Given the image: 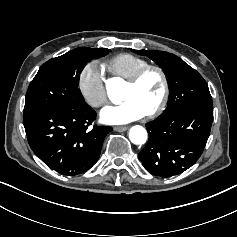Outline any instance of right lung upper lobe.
<instances>
[{"label":"right lung upper lobe","mask_w":237,"mask_h":237,"mask_svg":"<svg viewBox=\"0 0 237 237\" xmlns=\"http://www.w3.org/2000/svg\"><path fill=\"white\" fill-rule=\"evenodd\" d=\"M94 49L95 51H98V52H108L109 49H105V48H92Z\"/></svg>","instance_id":"1"}]
</instances>
